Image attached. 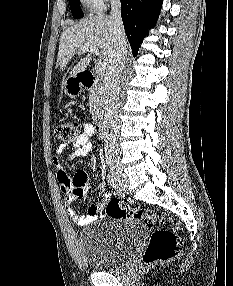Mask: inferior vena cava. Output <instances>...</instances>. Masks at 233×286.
<instances>
[{
    "label": "inferior vena cava",
    "mask_w": 233,
    "mask_h": 286,
    "mask_svg": "<svg viewBox=\"0 0 233 286\" xmlns=\"http://www.w3.org/2000/svg\"><path fill=\"white\" fill-rule=\"evenodd\" d=\"M111 19L114 22L115 52L109 65L104 81V122L105 131L110 139H117L118 133V91L120 80L125 64L127 62V45L121 19L120 0H111ZM117 147V141L115 143Z\"/></svg>",
    "instance_id": "obj_1"
}]
</instances>
